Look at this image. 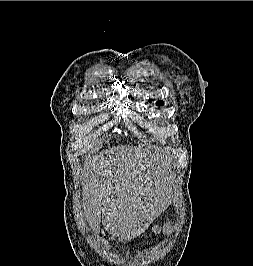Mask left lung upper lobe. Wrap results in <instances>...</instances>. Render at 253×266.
I'll list each match as a JSON object with an SVG mask.
<instances>
[{"instance_id": "5c2ea615", "label": "left lung upper lobe", "mask_w": 253, "mask_h": 266, "mask_svg": "<svg viewBox=\"0 0 253 266\" xmlns=\"http://www.w3.org/2000/svg\"><path fill=\"white\" fill-rule=\"evenodd\" d=\"M157 104H158V106H161V105H163V101H160V100H159V101L157 102Z\"/></svg>"}]
</instances>
